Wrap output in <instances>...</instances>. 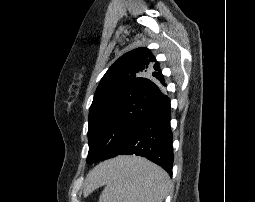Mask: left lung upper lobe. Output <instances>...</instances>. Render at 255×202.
Segmentation results:
<instances>
[{
  "mask_svg": "<svg viewBox=\"0 0 255 202\" xmlns=\"http://www.w3.org/2000/svg\"><path fill=\"white\" fill-rule=\"evenodd\" d=\"M147 48L121 56L105 73L89 111L87 163L117 156L141 122L168 97Z\"/></svg>",
  "mask_w": 255,
  "mask_h": 202,
  "instance_id": "5c2ea615",
  "label": "left lung upper lobe"
}]
</instances>
